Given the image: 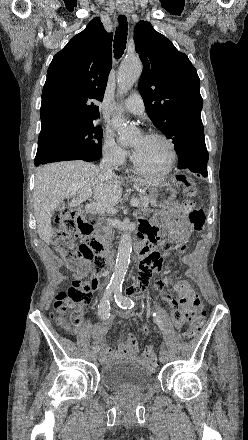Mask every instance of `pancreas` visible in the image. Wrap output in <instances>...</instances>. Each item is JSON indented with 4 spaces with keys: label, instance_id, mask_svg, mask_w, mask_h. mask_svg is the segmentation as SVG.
<instances>
[{
    "label": "pancreas",
    "instance_id": "pancreas-1",
    "mask_svg": "<svg viewBox=\"0 0 248 440\" xmlns=\"http://www.w3.org/2000/svg\"><path fill=\"white\" fill-rule=\"evenodd\" d=\"M147 202H148V198L145 196H141L139 199V212L142 213L143 215H148L150 214L151 210L148 208L147 206Z\"/></svg>",
    "mask_w": 248,
    "mask_h": 440
}]
</instances>
